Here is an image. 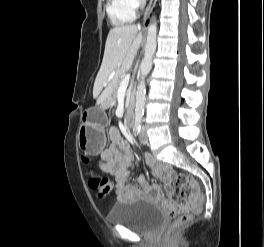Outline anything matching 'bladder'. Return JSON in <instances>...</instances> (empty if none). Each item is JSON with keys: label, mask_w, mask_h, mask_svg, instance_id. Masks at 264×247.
<instances>
[{"label": "bladder", "mask_w": 264, "mask_h": 247, "mask_svg": "<svg viewBox=\"0 0 264 247\" xmlns=\"http://www.w3.org/2000/svg\"><path fill=\"white\" fill-rule=\"evenodd\" d=\"M108 220L125 225L133 231L147 234L163 226L165 212L146 201H125L112 206Z\"/></svg>", "instance_id": "31cf9c89"}]
</instances>
